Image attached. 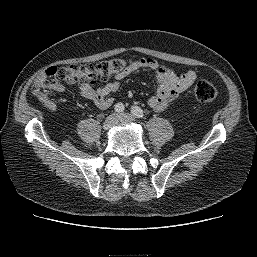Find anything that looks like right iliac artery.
Instances as JSON below:
<instances>
[{
	"label": "right iliac artery",
	"mask_w": 257,
	"mask_h": 257,
	"mask_svg": "<svg viewBox=\"0 0 257 257\" xmlns=\"http://www.w3.org/2000/svg\"><path fill=\"white\" fill-rule=\"evenodd\" d=\"M115 111L120 113V112H123L124 111V105L122 103H117L115 105Z\"/></svg>",
	"instance_id": "82829eb1"
}]
</instances>
